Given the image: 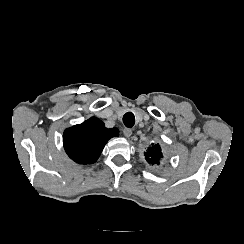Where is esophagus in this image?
<instances>
[{"mask_svg":"<svg viewBox=\"0 0 244 244\" xmlns=\"http://www.w3.org/2000/svg\"><path fill=\"white\" fill-rule=\"evenodd\" d=\"M123 134L126 136V137H130L132 135V130L130 128H124L123 129Z\"/></svg>","mask_w":244,"mask_h":244,"instance_id":"esophagus-1","label":"esophagus"}]
</instances>
